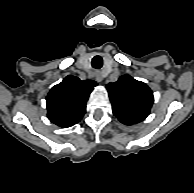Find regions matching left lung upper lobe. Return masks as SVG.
Here are the masks:
<instances>
[{
    "instance_id": "left-lung-upper-lobe-1",
    "label": "left lung upper lobe",
    "mask_w": 194,
    "mask_h": 193,
    "mask_svg": "<svg viewBox=\"0 0 194 193\" xmlns=\"http://www.w3.org/2000/svg\"><path fill=\"white\" fill-rule=\"evenodd\" d=\"M112 103L114 115L125 125L143 121L154 102L151 89L143 82L129 75H123L118 81L106 86Z\"/></svg>"
}]
</instances>
